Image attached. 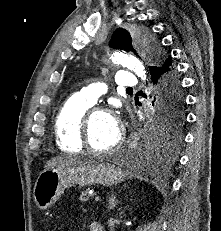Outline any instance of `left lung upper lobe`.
<instances>
[{
	"label": "left lung upper lobe",
	"mask_w": 221,
	"mask_h": 231,
	"mask_svg": "<svg viewBox=\"0 0 221 231\" xmlns=\"http://www.w3.org/2000/svg\"><path fill=\"white\" fill-rule=\"evenodd\" d=\"M133 41H143L150 53L149 58L151 61L157 60V62H159L163 60L158 42L146 32H142L141 34L135 32L133 33L132 39L131 34L127 30L118 28L112 36L110 46L115 49H123L125 51H132L136 53L133 47ZM183 116V97L181 94L180 98L173 104L172 110L169 114L159 117L156 113H154L151 132L161 133L170 141L178 140V128L183 122Z\"/></svg>",
	"instance_id": "1"
}]
</instances>
